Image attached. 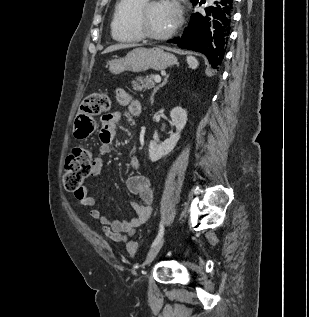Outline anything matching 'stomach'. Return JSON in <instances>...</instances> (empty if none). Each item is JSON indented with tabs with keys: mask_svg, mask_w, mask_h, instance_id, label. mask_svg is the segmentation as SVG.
<instances>
[{
	"mask_svg": "<svg viewBox=\"0 0 309 317\" xmlns=\"http://www.w3.org/2000/svg\"><path fill=\"white\" fill-rule=\"evenodd\" d=\"M176 63V57L160 47H139L128 52L125 57H117L111 60L109 70L113 74H120L124 71L138 73L148 69L160 71Z\"/></svg>",
	"mask_w": 309,
	"mask_h": 317,
	"instance_id": "obj_1",
	"label": "stomach"
}]
</instances>
